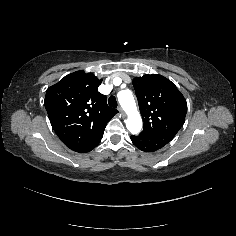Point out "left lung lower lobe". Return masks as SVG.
<instances>
[{"instance_id":"0a47b994","label":"left lung lower lobe","mask_w":236,"mask_h":236,"mask_svg":"<svg viewBox=\"0 0 236 236\" xmlns=\"http://www.w3.org/2000/svg\"><path fill=\"white\" fill-rule=\"evenodd\" d=\"M173 138L159 135H147L140 133L138 136H131L133 144L142 151L153 152L170 142Z\"/></svg>"}]
</instances>
